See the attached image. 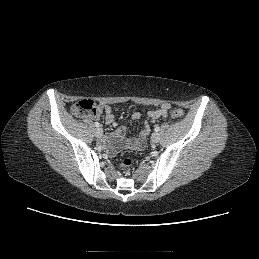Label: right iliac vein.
Masks as SVG:
<instances>
[{
    "mask_svg": "<svg viewBox=\"0 0 259 259\" xmlns=\"http://www.w3.org/2000/svg\"><path fill=\"white\" fill-rule=\"evenodd\" d=\"M94 134H95V136H96L97 138H101L102 135H103V131H102L101 128H97V129H95Z\"/></svg>",
    "mask_w": 259,
    "mask_h": 259,
    "instance_id": "obj_1",
    "label": "right iliac vein"
}]
</instances>
